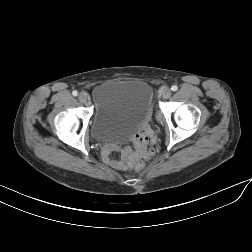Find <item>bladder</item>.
I'll return each mask as SVG.
<instances>
[{
    "instance_id": "obj_1",
    "label": "bladder",
    "mask_w": 252,
    "mask_h": 252,
    "mask_svg": "<svg viewBox=\"0 0 252 252\" xmlns=\"http://www.w3.org/2000/svg\"><path fill=\"white\" fill-rule=\"evenodd\" d=\"M92 97L91 132L100 143L124 142L152 117L151 91L143 81H105L93 89Z\"/></svg>"
}]
</instances>
